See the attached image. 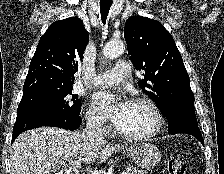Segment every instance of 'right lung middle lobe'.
I'll return each instance as SVG.
<instances>
[{"instance_id": "right-lung-middle-lobe-1", "label": "right lung middle lobe", "mask_w": 224, "mask_h": 174, "mask_svg": "<svg viewBox=\"0 0 224 174\" xmlns=\"http://www.w3.org/2000/svg\"><path fill=\"white\" fill-rule=\"evenodd\" d=\"M40 110L57 116H78L81 101L72 88H46L23 94L18 110Z\"/></svg>"}]
</instances>
